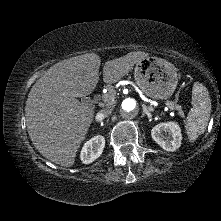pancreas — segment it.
<instances>
[{
    "label": "pancreas",
    "instance_id": "cf45deb5",
    "mask_svg": "<svg viewBox=\"0 0 221 221\" xmlns=\"http://www.w3.org/2000/svg\"><path fill=\"white\" fill-rule=\"evenodd\" d=\"M115 94H116V91L113 89V87H109L108 88V93L104 94L103 98L109 104H113L114 103ZM170 103L175 107V109L179 110L180 115H182V116L184 115L181 107H179L178 105L174 104L173 102H170Z\"/></svg>",
    "mask_w": 221,
    "mask_h": 221
}]
</instances>
